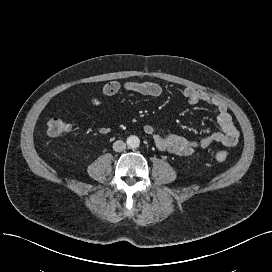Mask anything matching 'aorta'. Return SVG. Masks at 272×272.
Wrapping results in <instances>:
<instances>
[{"label":"aorta","mask_w":272,"mask_h":272,"mask_svg":"<svg viewBox=\"0 0 272 272\" xmlns=\"http://www.w3.org/2000/svg\"><path fill=\"white\" fill-rule=\"evenodd\" d=\"M127 145L131 149L137 148L140 145V139L135 135H131L127 138Z\"/></svg>","instance_id":"obj_1"}]
</instances>
